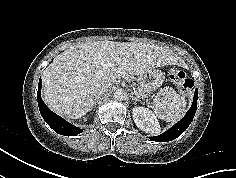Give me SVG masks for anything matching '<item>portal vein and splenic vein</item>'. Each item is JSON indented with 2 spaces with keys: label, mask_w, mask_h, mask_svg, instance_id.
Listing matches in <instances>:
<instances>
[{
  "label": "portal vein and splenic vein",
  "mask_w": 236,
  "mask_h": 178,
  "mask_svg": "<svg viewBox=\"0 0 236 178\" xmlns=\"http://www.w3.org/2000/svg\"><path fill=\"white\" fill-rule=\"evenodd\" d=\"M120 62H121V58L118 57V58H116L115 62L107 63V64H105L104 66H105L106 68H110V67H114V66L120 64Z\"/></svg>",
  "instance_id": "obj_1"
}]
</instances>
